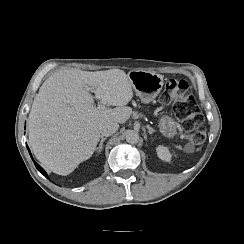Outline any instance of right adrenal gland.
<instances>
[{
  "mask_svg": "<svg viewBox=\"0 0 244 244\" xmlns=\"http://www.w3.org/2000/svg\"><path fill=\"white\" fill-rule=\"evenodd\" d=\"M106 140V138L104 137V136H101V140H100V142H99V147L97 148V150H96V155L98 154V153H100V151H101V148H102V144H103V142Z\"/></svg>",
  "mask_w": 244,
  "mask_h": 244,
  "instance_id": "obj_1",
  "label": "right adrenal gland"
}]
</instances>
